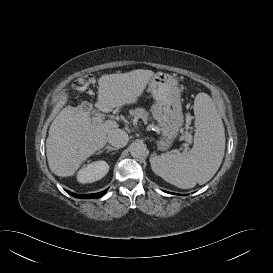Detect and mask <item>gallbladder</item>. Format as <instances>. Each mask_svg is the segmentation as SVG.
<instances>
[{"instance_id":"gallbladder-1","label":"gallbladder","mask_w":273,"mask_h":273,"mask_svg":"<svg viewBox=\"0 0 273 273\" xmlns=\"http://www.w3.org/2000/svg\"><path fill=\"white\" fill-rule=\"evenodd\" d=\"M82 107H83L84 110H88L89 112H90V110L92 111L91 105L89 103H87V102L83 103Z\"/></svg>"}]
</instances>
